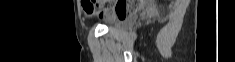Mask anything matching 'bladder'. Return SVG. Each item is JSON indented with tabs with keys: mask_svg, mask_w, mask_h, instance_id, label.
<instances>
[{
	"mask_svg": "<svg viewBox=\"0 0 235 62\" xmlns=\"http://www.w3.org/2000/svg\"><path fill=\"white\" fill-rule=\"evenodd\" d=\"M136 19H137V15L135 13H131L127 15L125 18L112 23L111 26L116 29H127L136 22Z\"/></svg>",
	"mask_w": 235,
	"mask_h": 62,
	"instance_id": "1",
	"label": "bladder"
}]
</instances>
